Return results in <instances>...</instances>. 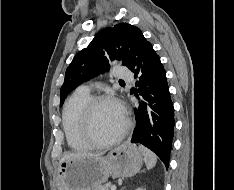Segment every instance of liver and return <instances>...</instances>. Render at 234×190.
Here are the masks:
<instances>
[{"label": "liver", "mask_w": 234, "mask_h": 190, "mask_svg": "<svg viewBox=\"0 0 234 190\" xmlns=\"http://www.w3.org/2000/svg\"><path fill=\"white\" fill-rule=\"evenodd\" d=\"M101 154H92V153H70L65 156L60 160V163L67 160V159H72V158H79V157H99Z\"/></svg>", "instance_id": "6515ba94"}]
</instances>
